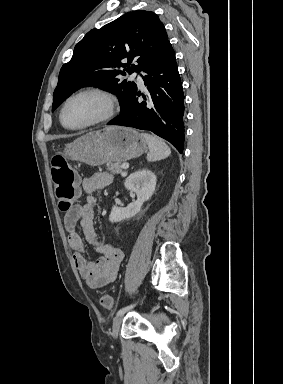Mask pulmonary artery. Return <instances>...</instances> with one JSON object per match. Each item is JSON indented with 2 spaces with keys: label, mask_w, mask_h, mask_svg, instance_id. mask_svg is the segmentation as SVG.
Segmentation results:
<instances>
[{
  "label": "pulmonary artery",
  "mask_w": 283,
  "mask_h": 384,
  "mask_svg": "<svg viewBox=\"0 0 283 384\" xmlns=\"http://www.w3.org/2000/svg\"><path fill=\"white\" fill-rule=\"evenodd\" d=\"M139 71L136 69L133 73H132V78H135L136 76H142V74L141 73H138ZM138 85L140 86V87H144V83H138Z\"/></svg>",
  "instance_id": "pulmonary-artery-1"
}]
</instances>
